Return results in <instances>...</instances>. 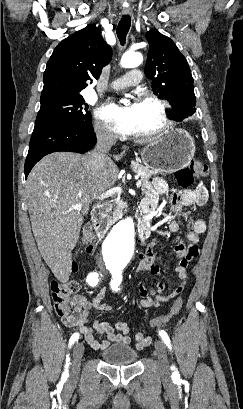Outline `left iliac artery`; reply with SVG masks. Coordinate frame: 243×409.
<instances>
[{
	"mask_svg": "<svg viewBox=\"0 0 243 409\" xmlns=\"http://www.w3.org/2000/svg\"><path fill=\"white\" fill-rule=\"evenodd\" d=\"M110 272L112 274V280L110 282V286L112 288V290L117 291L119 289V285L121 284L122 281V272L119 270H112L110 269ZM159 335L162 338L163 342L166 344V346L171 350V343H170V339L167 335V333L163 330L159 331ZM173 374L172 377L174 379L179 378V374L177 372L176 367L173 365L171 367Z\"/></svg>",
	"mask_w": 243,
	"mask_h": 409,
	"instance_id": "1",
	"label": "left iliac artery"
}]
</instances>
